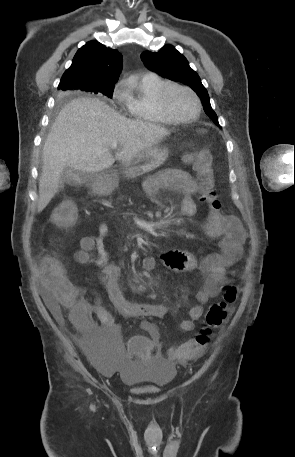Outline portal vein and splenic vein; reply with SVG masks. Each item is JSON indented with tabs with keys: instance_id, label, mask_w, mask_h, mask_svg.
<instances>
[{
	"instance_id": "18ae733b",
	"label": "portal vein and splenic vein",
	"mask_w": 295,
	"mask_h": 457,
	"mask_svg": "<svg viewBox=\"0 0 295 457\" xmlns=\"http://www.w3.org/2000/svg\"><path fill=\"white\" fill-rule=\"evenodd\" d=\"M118 147V142L117 141H113L111 144H110V148L112 149H116Z\"/></svg>"
}]
</instances>
